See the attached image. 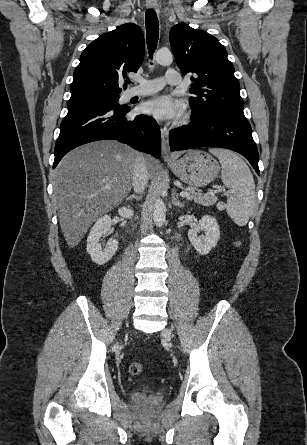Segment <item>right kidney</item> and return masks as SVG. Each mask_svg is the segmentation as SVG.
<instances>
[{"instance_id": "obj_1", "label": "right kidney", "mask_w": 307, "mask_h": 445, "mask_svg": "<svg viewBox=\"0 0 307 445\" xmlns=\"http://www.w3.org/2000/svg\"><path fill=\"white\" fill-rule=\"evenodd\" d=\"M118 212L120 216H125V218H131V216H133L132 208H127V206H121V208H118ZM110 229L111 216L104 214V216H101V218L96 220L95 225H93L89 233L87 239V253H89L92 261L97 263V265H105V263H108L118 249V241H115V239H110L105 249H102V245L99 243L101 237L107 235Z\"/></svg>"}]
</instances>
